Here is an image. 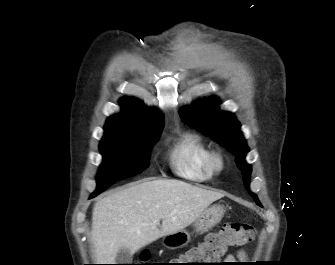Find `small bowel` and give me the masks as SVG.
I'll list each match as a JSON object with an SVG mask.
<instances>
[{
    "instance_id": "c3829d8e",
    "label": "small bowel",
    "mask_w": 335,
    "mask_h": 265,
    "mask_svg": "<svg viewBox=\"0 0 335 265\" xmlns=\"http://www.w3.org/2000/svg\"><path fill=\"white\" fill-rule=\"evenodd\" d=\"M239 259V260H246L247 259V254L244 250H240L236 256L234 255H228L226 257V261H228V263H232V261H235V259Z\"/></svg>"
}]
</instances>
